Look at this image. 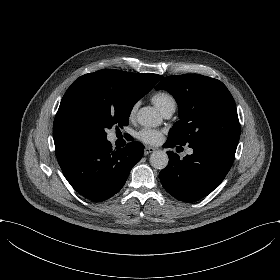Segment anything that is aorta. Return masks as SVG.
<instances>
[{
  "mask_svg": "<svg viewBox=\"0 0 280 280\" xmlns=\"http://www.w3.org/2000/svg\"><path fill=\"white\" fill-rule=\"evenodd\" d=\"M138 122L144 128H156L163 124V118L159 110L152 106H145L138 111ZM169 158L165 151L155 150L150 155V164L156 169H164L168 164Z\"/></svg>",
  "mask_w": 280,
  "mask_h": 280,
  "instance_id": "aorta-1",
  "label": "aorta"
}]
</instances>
